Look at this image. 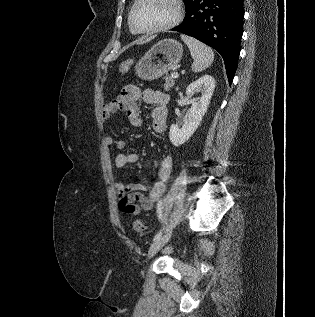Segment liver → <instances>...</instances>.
I'll return each instance as SVG.
<instances>
[{
    "label": "liver",
    "instance_id": "obj_1",
    "mask_svg": "<svg viewBox=\"0 0 315 317\" xmlns=\"http://www.w3.org/2000/svg\"><path fill=\"white\" fill-rule=\"evenodd\" d=\"M153 37L141 38L136 41L137 44H144L151 41Z\"/></svg>",
    "mask_w": 315,
    "mask_h": 317
}]
</instances>
